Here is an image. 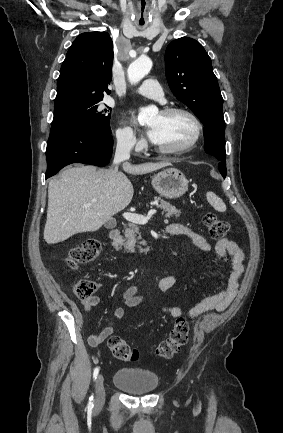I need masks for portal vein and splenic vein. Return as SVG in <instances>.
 Returning a JSON list of instances; mask_svg holds the SVG:
<instances>
[{"instance_id":"1","label":"portal vein and splenic vein","mask_w":283,"mask_h":433,"mask_svg":"<svg viewBox=\"0 0 283 433\" xmlns=\"http://www.w3.org/2000/svg\"><path fill=\"white\" fill-rule=\"evenodd\" d=\"M96 202V200H93ZM157 212L156 208H150L147 217H143V214H136V212H123V217L126 221H130V223H138V225H144V223H148L149 219H151L152 214Z\"/></svg>"}]
</instances>
